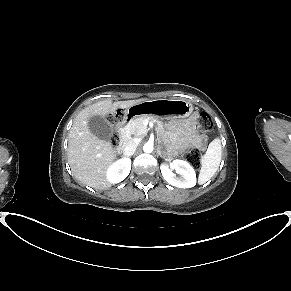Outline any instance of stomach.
Masks as SVG:
<instances>
[{"instance_id": "0dacf381", "label": "stomach", "mask_w": 291, "mask_h": 291, "mask_svg": "<svg viewBox=\"0 0 291 291\" xmlns=\"http://www.w3.org/2000/svg\"><path fill=\"white\" fill-rule=\"evenodd\" d=\"M193 107L185 100L156 99L133 104L127 109L130 117L187 118Z\"/></svg>"}]
</instances>
